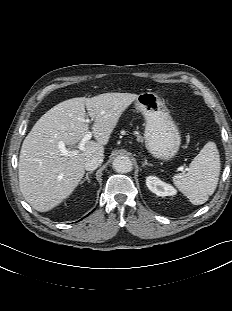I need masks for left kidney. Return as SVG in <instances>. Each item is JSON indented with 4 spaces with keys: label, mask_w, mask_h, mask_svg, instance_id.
Here are the masks:
<instances>
[{
    "label": "left kidney",
    "mask_w": 232,
    "mask_h": 311,
    "mask_svg": "<svg viewBox=\"0 0 232 311\" xmlns=\"http://www.w3.org/2000/svg\"><path fill=\"white\" fill-rule=\"evenodd\" d=\"M146 185L150 191L157 196H173L177 193L176 189L168 183L163 182L156 176H148L146 178Z\"/></svg>",
    "instance_id": "obj_1"
}]
</instances>
